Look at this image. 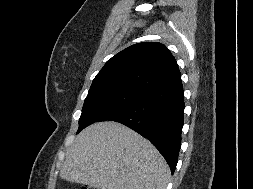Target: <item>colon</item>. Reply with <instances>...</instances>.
Wrapping results in <instances>:
<instances>
[{
	"label": "colon",
	"instance_id": "colon-1",
	"mask_svg": "<svg viewBox=\"0 0 253 189\" xmlns=\"http://www.w3.org/2000/svg\"><path fill=\"white\" fill-rule=\"evenodd\" d=\"M81 189H90V188H88V187H86V186H83Z\"/></svg>",
	"mask_w": 253,
	"mask_h": 189
}]
</instances>
